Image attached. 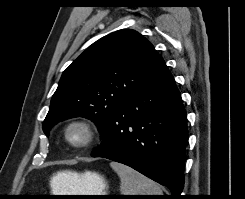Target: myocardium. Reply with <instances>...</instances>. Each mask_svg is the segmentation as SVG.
Instances as JSON below:
<instances>
[{
    "label": "myocardium",
    "mask_w": 245,
    "mask_h": 199,
    "mask_svg": "<svg viewBox=\"0 0 245 199\" xmlns=\"http://www.w3.org/2000/svg\"><path fill=\"white\" fill-rule=\"evenodd\" d=\"M81 127L85 131V139L80 143L73 142L69 137V131L73 127ZM65 141L73 148L84 149L89 147L96 139L97 132L94 124L85 118H74L68 121L63 130Z\"/></svg>",
    "instance_id": "obj_1"
}]
</instances>
